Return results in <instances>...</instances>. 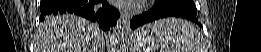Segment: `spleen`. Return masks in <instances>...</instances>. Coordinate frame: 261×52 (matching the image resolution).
<instances>
[{
    "instance_id": "obj_1",
    "label": "spleen",
    "mask_w": 261,
    "mask_h": 52,
    "mask_svg": "<svg viewBox=\"0 0 261 52\" xmlns=\"http://www.w3.org/2000/svg\"><path fill=\"white\" fill-rule=\"evenodd\" d=\"M146 27L158 38L161 52H203L200 49V32L188 21L168 18Z\"/></svg>"
}]
</instances>
